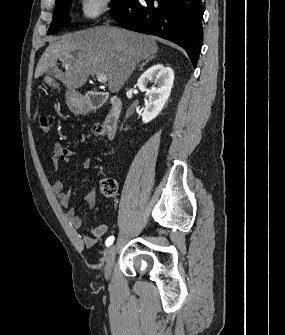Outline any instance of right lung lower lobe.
Returning <instances> with one entry per match:
<instances>
[{
    "mask_svg": "<svg viewBox=\"0 0 285 335\" xmlns=\"http://www.w3.org/2000/svg\"><path fill=\"white\" fill-rule=\"evenodd\" d=\"M202 0H118L109 14L129 30L155 35L181 46L197 65L203 29Z\"/></svg>",
    "mask_w": 285,
    "mask_h": 335,
    "instance_id": "obj_1",
    "label": "right lung lower lobe"
}]
</instances>
